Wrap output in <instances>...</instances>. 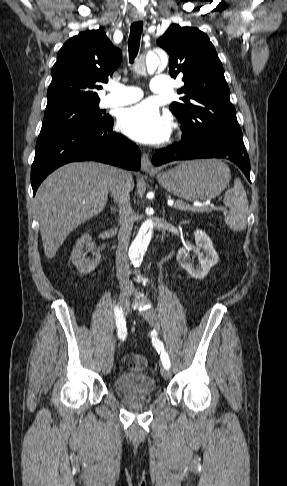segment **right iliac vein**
Listing matches in <instances>:
<instances>
[{
    "mask_svg": "<svg viewBox=\"0 0 287 486\" xmlns=\"http://www.w3.org/2000/svg\"><path fill=\"white\" fill-rule=\"evenodd\" d=\"M129 296H130V293L128 291H122L121 294H120V297H119L120 307L125 314H127L128 309H129ZM113 350H114L113 346H111L108 349V351L105 355V358H104V361H103V372L105 374H108L112 369V366H113Z\"/></svg>",
    "mask_w": 287,
    "mask_h": 486,
    "instance_id": "right-iliac-vein-1",
    "label": "right iliac vein"
}]
</instances>
